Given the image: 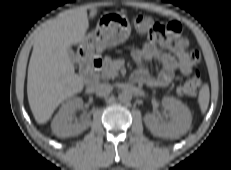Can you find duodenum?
Segmentation results:
<instances>
[{
    "mask_svg": "<svg viewBox=\"0 0 231 170\" xmlns=\"http://www.w3.org/2000/svg\"><path fill=\"white\" fill-rule=\"evenodd\" d=\"M102 67V59L96 56H85L82 62V77L87 84V92H93L98 72Z\"/></svg>",
    "mask_w": 231,
    "mask_h": 170,
    "instance_id": "1",
    "label": "duodenum"
}]
</instances>
